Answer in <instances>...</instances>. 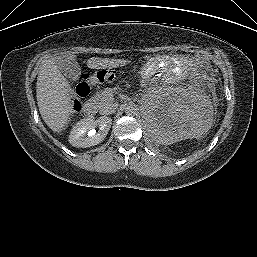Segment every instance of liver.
<instances>
[{
    "label": "liver",
    "instance_id": "liver-1",
    "mask_svg": "<svg viewBox=\"0 0 257 257\" xmlns=\"http://www.w3.org/2000/svg\"><path fill=\"white\" fill-rule=\"evenodd\" d=\"M66 54L75 59L73 52ZM127 63H129L128 60L92 57L88 59L87 66L91 69H106L120 67ZM36 97L40 114L47 126L56 133L65 130L73 114L71 89L53 56L40 66Z\"/></svg>",
    "mask_w": 257,
    "mask_h": 257
}]
</instances>
